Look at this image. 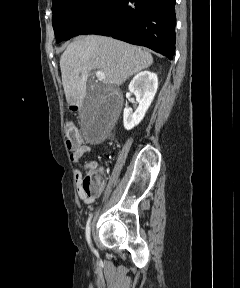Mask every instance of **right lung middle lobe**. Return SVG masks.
Listing matches in <instances>:
<instances>
[{
	"instance_id": "1",
	"label": "right lung middle lobe",
	"mask_w": 240,
	"mask_h": 288,
	"mask_svg": "<svg viewBox=\"0 0 240 288\" xmlns=\"http://www.w3.org/2000/svg\"><path fill=\"white\" fill-rule=\"evenodd\" d=\"M112 0H53L52 25L57 41L77 36Z\"/></svg>"
}]
</instances>
